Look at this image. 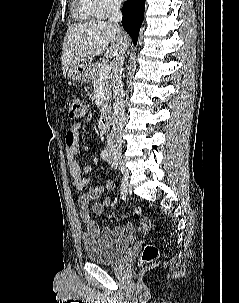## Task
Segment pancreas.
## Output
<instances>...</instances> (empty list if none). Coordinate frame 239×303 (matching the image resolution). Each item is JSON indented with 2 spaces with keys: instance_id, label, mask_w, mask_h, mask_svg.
Wrapping results in <instances>:
<instances>
[{
  "instance_id": "1",
  "label": "pancreas",
  "mask_w": 239,
  "mask_h": 303,
  "mask_svg": "<svg viewBox=\"0 0 239 303\" xmlns=\"http://www.w3.org/2000/svg\"><path fill=\"white\" fill-rule=\"evenodd\" d=\"M103 62H95L90 63L89 65V73L90 79L94 86H98L101 88L102 100H101V111L105 112L110 107L111 102V83L110 76L100 79L99 72L101 69Z\"/></svg>"
}]
</instances>
